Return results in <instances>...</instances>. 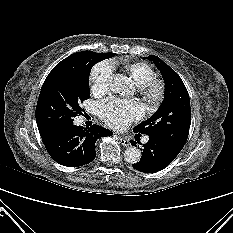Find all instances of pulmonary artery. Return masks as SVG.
Wrapping results in <instances>:
<instances>
[{
	"label": "pulmonary artery",
	"instance_id": "e3ab8cb5",
	"mask_svg": "<svg viewBox=\"0 0 233 233\" xmlns=\"http://www.w3.org/2000/svg\"><path fill=\"white\" fill-rule=\"evenodd\" d=\"M148 142V137H145L144 139H143V143H147Z\"/></svg>",
	"mask_w": 233,
	"mask_h": 233
}]
</instances>
